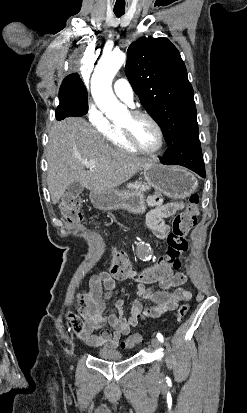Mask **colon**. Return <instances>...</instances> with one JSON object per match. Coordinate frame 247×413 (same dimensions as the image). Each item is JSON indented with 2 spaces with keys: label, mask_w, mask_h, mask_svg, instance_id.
<instances>
[{
  "label": "colon",
  "mask_w": 247,
  "mask_h": 413,
  "mask_svg": "<svg viewBox=\"0 0 247 413\" xmlns=\"http://www.w3.org/2000/svg\"><path fill=\"white\" fill-rule=\"evenodd\" d=\"M198 204V194H191L187 208L175 216L174 221L172 222V227L174 229L165 236L167 245L169 246L167 252L165 253V258L158 260L157 263L147 266V271L143 275H138L135 273V263L128 261L124 250L118 249V247L114 244L106 245L104 248V259L112 268H114V276L117 278H122L124 276L133 275L136 276L140 282L148 283L153 281L155 278L167 275L169 272V266L177 263L176 257L179 255V252L185 253L187 251V241L183 240V238H187L190 230L189 228L195 227L197 224ZM82 208V201L76 196L65 195L60 202V210L62 215L69 223H78L82 221ZM189 310V304H181L175 313V320L179 321L184 318L188 314ZM141 341V335L135 334L122 341L120 346L121 348L126 349L140 343Z\"/></svg>",
  "instance_id": "colon-1"
}]
</instances>
